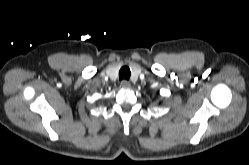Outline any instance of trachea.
<instances>
[{
  "label": "trachea",
  "mask_w": 249,
  "mask_h": 165,
  "mask_svg": "<svg viewBox=\"0 0 249 165\" xmlns=\"http://www.w3.org/2000/svg\"><path fill=\"white\" fill-rule=\"evenodd\" d=\"M131 76V71L127 66H124L119 71V79L120 80H128Z\"/></svg>",
  "instance_id": "1"
}]
</instances>
